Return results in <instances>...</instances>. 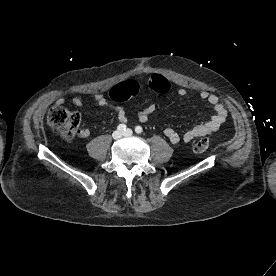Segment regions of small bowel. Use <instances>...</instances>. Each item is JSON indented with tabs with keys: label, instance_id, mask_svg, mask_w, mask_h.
Here are the masks:
<instances>
[{
	"label": "small bowel",
	"instance_id": "small-bowel-1",
	"mask_svg": "<svg viewBox=\"0 0 276 276\" xmlns=\"http://www.w3.org/2000/svg\"><path fill=\"white\" fill-rule=\"evenodd\" d=\"M162 78L152 75L148 78V85L151 89L157 92H167L168 85L162 82ZM126 93L128 98L136 96L140 91V84L138 81L130 79L124 82L121 86ZM187 90L183 87L179 88L178 94L180 96L186 95ZM92 97L96 106L103 107L107 106L112 108L116 114L117 118L121 122H126L127 117L124 109L120 106L114 105L110 100L106 98L104 94L97 91H92L89 93ZM199 97L210 104L214 110V115L207 121L195 125L191 129L187 130L183 134L178 133L175 129L167 127L164 129L163 133L167 139L172 144H177L181 141L185 143L192 142L194 139L209 135L217 131L227 117V109L225 105L220 101L219 97L215 94H212L208 91H201ZM59 104L64 102L63 98L58 99ZM72 103L76 106H81L84 103V97L82 95L76 96L72 99ZM156 110L155 104H149L145 109L138 113V120L140 122H146L149 119V116ZM79 138L85 139L90 136V131L86 128L80 129L77 132Z\"/></svg>",
	"mask_w": 276,
	"mask_h": 276
}]
</instances>
